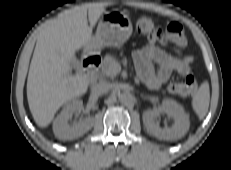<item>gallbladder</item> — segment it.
Listing matches in <instances>:
<instances>
[{
	"mask_svg": "<svg viewBox=\"0 0 231 170\" xmlns=\"http://www.w3.org/2000/svg\"><path fill=\"white\" fill-rule=\"evenodd\" d=\"M73 64H74V66L76 67V65H77V61L75 60V61L73 62Z\"/></svg>",
	"mask_w": 231,
	"mask_h": 170,
	"instance_id": "gallbladder-1",
	"label": "gallbladder"
}]
</instances>
